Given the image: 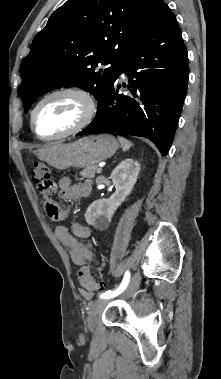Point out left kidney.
<instances>
[{"instance_id": "5707ae66", "label": "left kidney", "mask_w": 221, "mask_h": 379, "mask_svg": "<svg viewBox=\"0 0 221 379\" xmlns=\"http://www.w3.org/2000/svg\"><path fill=\"white\" fill-rule=\"evenodd\" d=\"M140 171V164L127 158L123 160L111 173V179L115 186V192L107 200H97L89 205L86 213V222L100 227L108 224L117 208L131 193Z\"/></svg>"}]
</instances>
